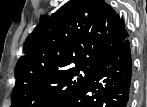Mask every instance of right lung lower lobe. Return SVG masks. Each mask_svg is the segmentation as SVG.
Masks as SVG:
<instances>
[{"label":"right lung lower lobe","instance_id":"obj_1","mask_svg":"<svg viewBox=\"0 0 147 107\" xmlns=\"http://www.w3.org/2000/svg\"><path fill=\"white\" fill-rule=\"evenodd\" d=\"M132 59L128 37L57 107H128Z\"/></svg>","mask_w":147,"mask_h":107}]
</instances>
